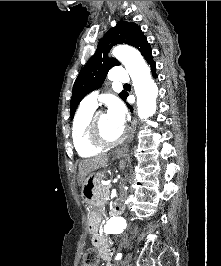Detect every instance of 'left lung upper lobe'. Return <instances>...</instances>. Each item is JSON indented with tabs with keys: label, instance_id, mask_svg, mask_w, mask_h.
<instances>
[{
	"label": "left lung upper lobe",
	"instance_id": "1",
	"mask_svg": "<svg viewBox=\"0 0 221 266\" xmlns=\"http://www.w3.org/2000/svg\"><path fill=\"white\" fill-rule=\"evenodd\" d=\"M119 43L134 46L148 63L153 61L150 44L147 42L140 26L134 22L119 21L101 39L95 54L88 60L74 82L70 102L71 119H73L80 101L88 93L101 86L109 69L120 64L118 60L108 57L110 49ZM126 94L122 91L119 96L124 100Z\"/></svg>",
	"mask_w": 221,
	"mask_h": 266
}]
</instances>
